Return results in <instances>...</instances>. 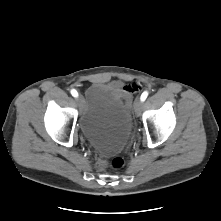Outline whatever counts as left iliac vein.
Segmentation results:
<instances>
[{
	"mask_svg": "<svg viewBox=\"0 0 221 221\" xmlns=\"http://www.w3.org/2000/svg\"><path fill=\"white\" fill-rule=\"evenodd\" d=\"M143 109V101L140 98H137L134 102V110L136 114H140Z\"/></svg>",
	"mask_w": 221,
	"mask_h": 221,
	"instance_id": "1",
	"label": "left iliac vein"
}]
</instances>
